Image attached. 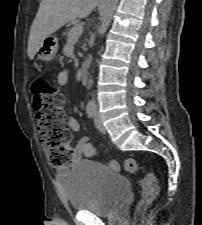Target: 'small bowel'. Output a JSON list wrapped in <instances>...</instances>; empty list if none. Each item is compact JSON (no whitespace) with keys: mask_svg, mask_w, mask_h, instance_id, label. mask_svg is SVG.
Returning <instances> with one entry per match:
<instances>
[{"mask_svg":"<svg viewBox=\"0 0 202 225\" xmlns=\"http://www.w3.org/2000/svg\"><path fill=\"white\" fill-rule=\"evenodd\" d=\"M71 74L69 71H61L57 76V82L59 85L64 86L70 80ZM68 126L71 132L80 131V123L76 117H69L67 120ZM96 157V151L94 146L90 143L88 138L80 139L72 152V159H94Z\"/></svg>","mask_w":202,"mask_h":225,"instance_id":"small-bowel-1","label":"small bowel"}]
</instances>
